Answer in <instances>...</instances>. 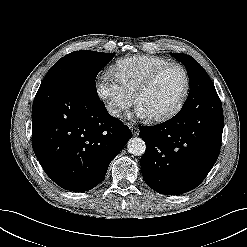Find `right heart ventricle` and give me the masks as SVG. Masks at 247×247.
Returning <instances> with one entry per match:
<instances>
[{"label": "right heart ventricle", "instance_id": "obj_1", "mask_svg": "<svg viewBox=\"0 0 247 247\" xmlns=\"http://www.w3.org/2000/svg\"><path fill=\"white\" fill-rule=\"evenodd\" d=\"M170 63L168 60L147 55H136L117 61L109 73L131 96L143 80L157 68Z\"/></svg>", "mask_w": 247, "mask_h": 247}]
</instances>
